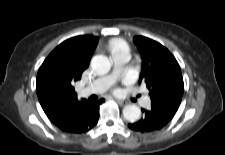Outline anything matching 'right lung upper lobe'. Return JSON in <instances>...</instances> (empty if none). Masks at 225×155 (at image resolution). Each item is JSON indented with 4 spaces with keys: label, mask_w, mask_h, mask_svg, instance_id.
I'll use <instances>...</instances> for the list:
<instances>
[{
    "label": "right lung upper lobe",
    "mask_w": 225,
    "mask_h": 155,
    "mask_svg": "<svg viewBox=\"0 0 225 155\" xmlns=\"http://www.w3.org/2000/svg\"><path fill=\"white\" fill-rule=\"evenodd\" d=\"M98 37L84 35L70 38L57 46L39 68L36 91L39 102L50 120L63 110L78 105L73 84L89 66Z\"/></svg>",
    "instance_id": "1"
}]
</instances>
